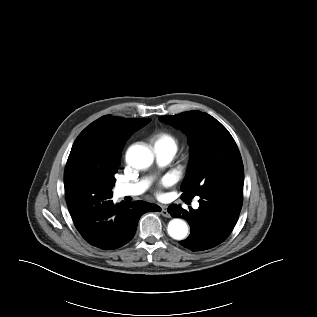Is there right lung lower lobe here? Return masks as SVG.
<instances>
[{
  "instance_id": "1",
  "label": "right lung lower lobe",
  "mask_w": 317,
  "mask_h": 317,
  "mask_svg": "<svg viewBox=\"0 0 317 317\" xmlns=\"http://www.w3.org/2000/svg\"><path fill=\"white\" fill-rule=\"evenodd\" d=\"M68 208L75 227L91 245L105 249H117L127 244L135 235L140 217L160 207L143 201L113 204L110 198L97 201L81 198L78 194H66Z\"/></svg>"
}]
</instances>
